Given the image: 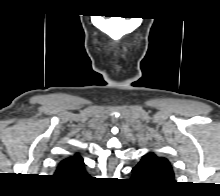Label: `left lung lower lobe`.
Wrapping results in <instances>:
<instances>
[{
    "label": "left lung lower lobe",
    "mask_w": 220,
    "mask_h": 196,
    "mask_svg": "<svg viewBox=\"0 0 220 196\" xmlns=\"http://www.w3.org/2000/svg\"><path fill=\"white\" fill-rule=\"evenodd\" d=\"M133 179L143 182L144 184H161L158 178L150 170L147 164L139 162L133 169Z\"/></svg>",
    "instance_id": "obj_1"
}]
</instances>
